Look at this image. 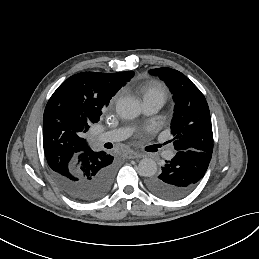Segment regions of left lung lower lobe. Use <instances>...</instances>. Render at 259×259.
<instances>
[{"instance_id": "1", "label": "left lung lower lobe", "mask_w": 259, "mask_h": 259, "mask_svg": "<svg viewBox=\"0 0 259 259\" xmlns=\"http://www.w3.org/2000/svg\"><path fill=\"white\" fill-rule=\"evenodd\" d=\"M212 154L196 150H178L166 161L159 176L148 179L147 187L165 200H179L189 195L205 175Z\"/></svg>"}]
</instances>
